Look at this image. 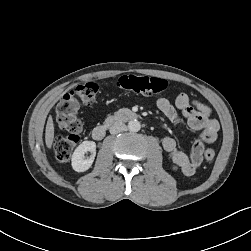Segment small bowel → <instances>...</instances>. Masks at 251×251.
<instances>
[{"mask_svg":"<svg viewBox=\"0 0 251 251\" xmlns=\"http://www.w3.org/2000/svg\"><path fill=\"white\" fill-rule=\"evenodd\" d=\"M156 107L169 120L176 124L185 122L190 128L200 131V137L195 141L190 154L180 150L172 137H164L162 146L170 155L172 162L186 176L194 175L199 169L206 143L216 141L219 124L211 117V110L205 104L192 100L186 93H180L174 105L164 97L156 100Z\"/></svg>","mask_w":251,"mask_h":251,"instance_id":"1","label":"small bowel"}]
</instances>
